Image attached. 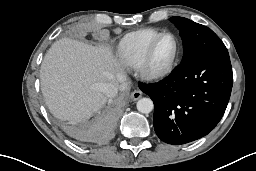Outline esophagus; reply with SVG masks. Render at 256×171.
Listing matches in <instances>:
<instances>
[{
    "instance_id": "obj_1",
    "label": "esophagus",
    "mask_w": 256,
    "mask_h": 171,
    "mask_svg": "<svg viewBox=\"0 0 256 171\" xmlns=\"http://www.w3.org/2000/svg\"><path fill=\"white\" fill-rule=\"evenodd\" d=\"M141 96H142V92L139 90V89H136V90H134L132 93H131V99L133 100V101H136V100H138L139 98H141Z\"/></svg>"
}]
</instances>
